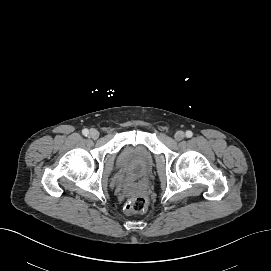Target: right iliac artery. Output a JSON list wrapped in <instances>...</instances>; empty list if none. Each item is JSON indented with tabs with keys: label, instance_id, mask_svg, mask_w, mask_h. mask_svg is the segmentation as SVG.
Wrapping results in <instances>:
<instances>
[{
	"label": "right iliac artery",
	"instance_id": "1",
	"mask_svg": "<svg viewBox=\"0 0 271 271\" xmlns=\"http://www.w3.org/2000/svg\"><path fill=\"white\" fill-rule=\"evenodd\" d=\"M82 134L84 136H87L89 134V130L88 129H83Z\"/></svg>",
	"mask_w": 271,
	"mask_h": 271
}]
</instances>
